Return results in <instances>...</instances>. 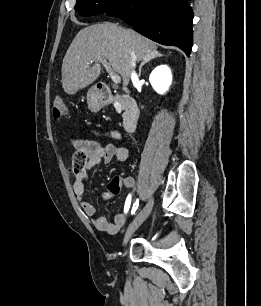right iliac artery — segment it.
<instances>
[{
    "instance_id": "1",
    "label": "right iliac artery",
    "mask_w": 261,
    "mask_h": 306,
    "mask_svg": "<svg viewBox=\"0 0 261 306\" xmlns=\"http://www.w3.org/2000/svg\"><path fill=\"white\" fill-rule=\"evenodd\" d=\"M131 203V195H128L126 202H125V212L128 210L129 206ZM139 206V199H136L135 203L133 204L131 214L134 215L136 210L138 209Z\"/></svg>"
}]
</instances>
